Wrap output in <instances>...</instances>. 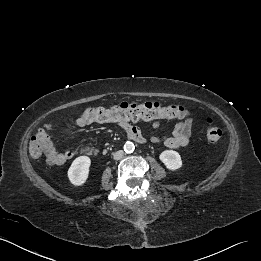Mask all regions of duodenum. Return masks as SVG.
I'll use <instances>...</instances> for the list:
<instances>
[{
    "instance_id": "duodenum-1",
    "label": "duodenum",
    "mask_w": 261,
    "mask_h": 261,
    "mask_svg": "<svg viewBox=\"0 0 261 261\" xmlns=\"http://www.w3.org/2000/svg\"><path fill=\"white\" fill-rule=\"evenodd\" d=\"M129 139L140 143V144H144L146 142V139L141 135V133H133L129 136Z\"/></svg>"
}]
</instances>
